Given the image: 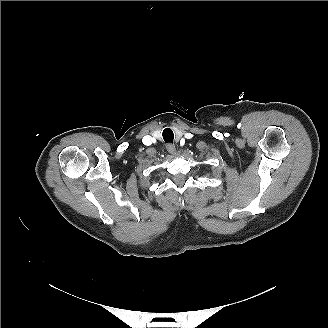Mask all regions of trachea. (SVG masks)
<instances>
[{"mask_svg":"<svg viewBox=\"0 0 328 328\" xmlns=\"http://www.w3.org/2000/svg\"><path fill=\"white\" fill-rule=\"evenodd\" d=\"M162 136H163L165 143L173 144L174 134L171 129H164Z\"/></svg>","mask_w":328,"mask_h":328,"instance_id":"1","label":"trachea"}]
</instances>
